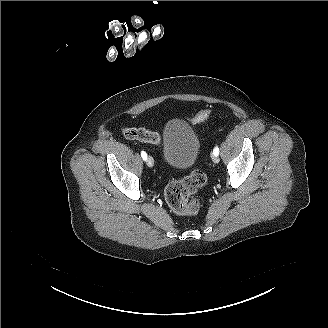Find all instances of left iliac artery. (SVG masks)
I'll use <instances>...</instances> for the list:
<instances>
[{"instance_id":"44dca946","label":"left iliac artery","mask_w":328,"mask_h":328,"mask_svg":"<svg viewBox=\"0 0 328 328\" xmlns=\"http://www.w3.org/2000/svg\"><path fill=\"white\" fill-rule=\"evenodd\" d=\"M213 154L214 155H218L219 154V148L217 146L213 149Z\"/></svg>"}]
</instances>
